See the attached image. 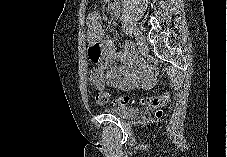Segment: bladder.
Instances as JSON below:
<instances>
[{
  "label": "bladder",
  "mask_w": 227,
  "mask_h": 157,
  "mask_svg": "<svg viewBox=\"0 0 227 157\" xmlns=\"http://www.w3.org/2000/svg\"><path fill=\"white\" fill-rule=\"evenodd\" d=\"M107 113L115 115L122 119H132L139 115L140 111L138 108L129 106H118L106 110Z\"/></svg>",
  "instance_id": "1"
}]
</instances>
